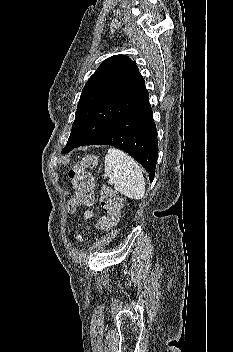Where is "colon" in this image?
<instances>
[{
    "instance_id": "colon-1",
    "label": "colon",
    "mask_w": 233,
    "mask_h": 352,
    "mask_svg": "<svg viewBox=\"0 0 233 352\" xmlns=\"http://www.w3.org/2000/svg\"><path fill=\"white\" fill-rule=\"evenodd\" d=\"M97 156L84 155L75 163L68 172L71 185L76 192V198L70 205V210L75 204L89 206L94 203V178L89 170L97 165ZM100 204L104 215L99 218L95 227L101 231H108L115 227L119 221L122 199L113 189L103 186L100 192Z\"/></svg>"
}]
</instances>
